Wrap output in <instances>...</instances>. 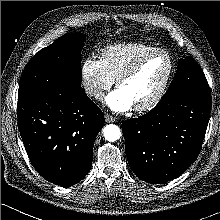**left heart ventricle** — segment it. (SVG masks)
I'll return each instance as SVG.
<instances>
[{"label": "left heart ventricle", "instance_id": "left-heart-ventricle-1", "mask_svg": "<svg viewBox=\"0 0 220 220\" xmlns=\"http://www.w3.org/2000/svg\"><path fill=\"white\" fill-rule=\"evenodd\" d=\"M169 70V60L163 54L149 57L140 70L124 80L121 88L132 100L133 106L151 99L163 84Z\"/></svg>", "mask_w": 220, "mask_h": 220}]
</instances>
